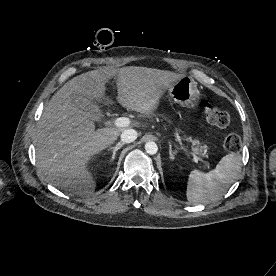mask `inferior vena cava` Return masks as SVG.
Returning a JSON list of instances; mask_svg holds the SVG:
<instances>
[{"label": "inferior vena cava", "mask_w": 276, "mask_h": 276, "mask_svg": "<svg viewBox=\"0 0 276 276\" xmlns=\"http://www.w3.org/2000/svg\"><path fill=\"white\" fill-rule=\"evenodd\" d=\"M137 131L134 129H125L121 133V141L123 143H131L137 139Z\"/></svg>", "instance_id": "inferior-vena-cava-1"}]
</instances>
